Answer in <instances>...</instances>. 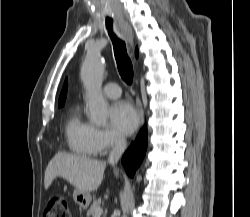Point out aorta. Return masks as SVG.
<instances>
[{
    "label": "aorta",
    "instance_id": "762f6f07",
    "mask_svg": "<svg viewBox=\"0 0 250 217\" xmlns=\"http://www.w3.org/2000/svg\"><path fill=\"white\" fill-rule=\"evenodd\" d=\"M105 65L102 57L88 54L83 62L80 77L86 89L85 100L89 107L92 123L104 126L107 122L109 106L102 95V82Z\"/></svg>",
    "mask_w": 250,
    "mask_h": 217
}]
</instances>
